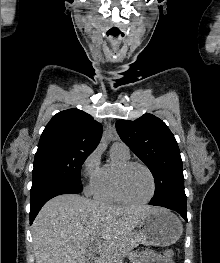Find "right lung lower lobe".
<instances>
[{"mask_svg": "<svg viewBox=\"0 0 220 263\" xmlns=\"http://www.w3.org/2000/svg\"><path fill=\"white\" fill-rule=\"evenodd\" d=\"M82 191V186L60 180H42L32 184L30 224H32L41 207L51 198L67 193L77 194Z\"/></svg>", "mask_w": 220, "mask_h": 263, "instance_id": "right-lung-lower-lobe-1", "label": "right lung lower lobe"}]
</instances>
